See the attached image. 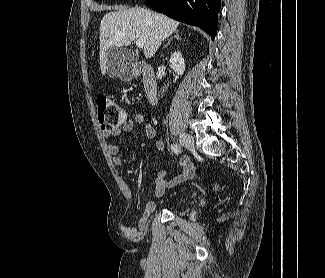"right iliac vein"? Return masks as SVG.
Here are the masks:
<instances>
[{
    "label": "right iliac vein",
    "instance_id": "obj_1",
    "mask_svg": "<svg viewBox=\"0 0 325 278\" xmlns=\"http://www.w3.org/2000/svg\"><path fill=\"white\" fill-rule=\"evenodd\" d=\"M179 141L184 147L194 150V138L190 134L185 132L179 133Z\"/></svg>",
    "mask_w": 325,
    "mask_h": 278
}]
</instances>
